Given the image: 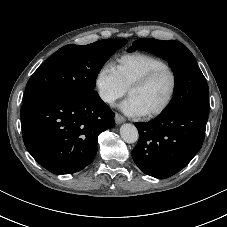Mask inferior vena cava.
<instances>
[{
	"label": "inferior vena cava",
	"mask_w": 227,
	"mask_h": 227,
	"mask_svg": "<svg viewBox=\"0 0 227 227\" xmlns=\"http://www.w3.org/2000/svg\"><path fill=\"white\" fill-rule=\"evenodd\" d=\"M103 100L106 101V102H108V103H111V102L114 101V99L111 96H104L103 97Z\"/></svg>",
	"instance_id": "obj_1"
}]
</instances>
